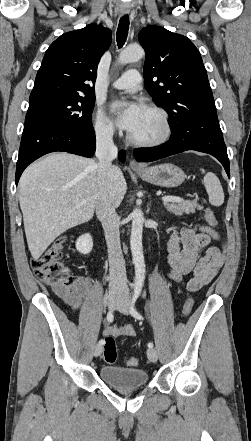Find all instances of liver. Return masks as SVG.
<instances>
[{
	"mask_svg": "<svg viewBox=\"0 0 251 441\" xmlns=\"http://www.w3.org/2000/svg\"><path fill=\"white\" fill-rule=\"evenodd\" d=\"M110 174L109 193L118 206L127 186L120 168L112 166ZM19 193L28 248L37 260L59 235L93 217L97 163L69 153H52L23 172Z\"/></svg>",
	"mask_w": 251,
	"mask_h": 441,
	"instance_id": "1",
	"label": "liver"
}]
</instances>
